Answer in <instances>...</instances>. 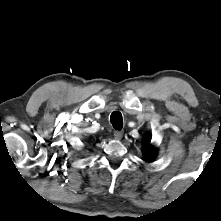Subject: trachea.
Here are the masks:
<instances>
[{
	"label": "trachea",
	"mask_w": 221,
	"mask_h": 221,
	"mask_svg": "<svg viewBox=\"0 0 221 221\" xmlns=\"http://www.w3.org/2000/svg\"><path fill=\"white\" fill-rule=\"evenodd\" d=\"M110 122L113 125V128L120 130L123 127L122 114L120 112H113L110 116Z\"/></svg>",
	"instance_id": "trachea-1"
}]
</instances>
